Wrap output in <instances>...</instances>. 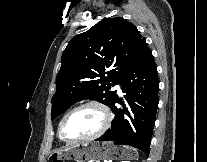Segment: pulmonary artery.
Masks as SVG:
<instances>
[{"label":"pulmonary artery","instance_id":"1","mask_svg":"<svg viewBox=\"0 0 207 162\" xmlns=\"http://www.w3.org/2000/svg\"><path fill=\"white\" fill-rule=\"evenodd\" d=\"M115 87H116V89L118 90V92L121 93V91H122V86H121V84H117Z\"/></svg>","mask_w":207,"mask_h":162}]
</instances>
